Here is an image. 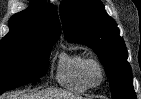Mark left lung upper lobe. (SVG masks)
<instances>
[{"label":"left lung upper lobe","mask_w":141,"mask_h":99,"mask_svg":"<svg viewBox=\"0 0 141 99\" xmlns=\"http://www.w3.org/2000/svg\"><path fill=\"white\" fill-rule=\"evenodd\" d=\"M60 15L67 39L92 48L105 67L113 99H136L128 53L116 22L100 0L62 2Z\"/></svg>","instance_id":"1"}]
</instances>
